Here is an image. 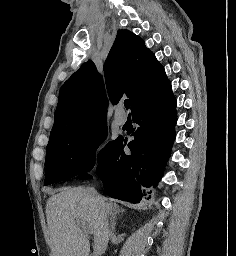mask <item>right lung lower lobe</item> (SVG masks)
Returning a JSON list of instances; mask_svg holds the SVG:
<instances>
[{"label":"right lung lower lobe","mask_w":236,"mask_h":256,"mask_svg":"<svg viewBox=\"0 0 236 256\" xmlns=\"http://www.w3.org/2000/svg\"><path fill=\"white\" fill-rule=\"evenodd\" d=\"M132 117L139 127L127 144L130 154L123 150L127 138L118 137L96 172L110 197L139 203L160 181L175 140L176 100L170 81L134 106Z\"/></svg>","instance_id":"right-lung-lower-lobe-1"}]
</instances>
